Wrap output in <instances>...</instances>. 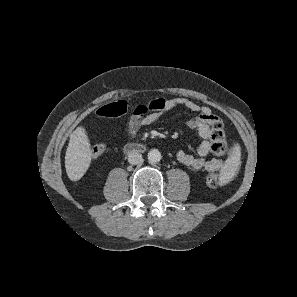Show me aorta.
<instances>
[{"instance_id":"762f6f07","label":"aorta","mask_w":297,"mask_h":297,"mask_svg":"<svg viewBox=\"0 0 297 297\" xmlns=\"http://www.w3.org/2000/svg\"><path fill=\"white\" fill-rule=\"evenodd\" d=\"M148 160L151 163H157L161 160V153L157 149H152L148 153Z\"/></svg>"}]
</instances>
